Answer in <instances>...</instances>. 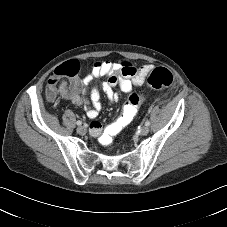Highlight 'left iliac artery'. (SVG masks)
Listing matches in <instances>:
<instances>
[{"instance_id": "1", "label": "left iliac artery", "mask_w": 227, "mask_h": 227, "mask_svg": "<svg viewBox=\"0 0 227 227\" xmlns=\"http://www.w3.org/2000/svg\"><path fill=\"white\" fill-rule=\"evenodd\" d=\"M145 126H150V121H146Z\"/></svg>"}]
</instances>
